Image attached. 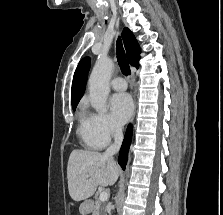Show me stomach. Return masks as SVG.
Returning a JSON list of instances; mask_svg holds the SVG:
<instances>
[{
	"label": "stomach",
	"mask_w": 223,
	"mask_h": 215,
	"mask_svg": "<svg viewBox=\"0 0 223 215\" xmlns=\"http://www.w3.org/2000/svg\"><path fill=\"white\" fill-rule=\"evenodd\" d=\"M92 205L91 202H86L83 201V203H81L79 209H80V213H83V215H87V213H90L91 209L89 208Z\"/></svg>",
	"instance_id": "stomach-1"
}]
</instances>
